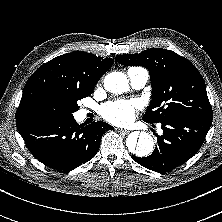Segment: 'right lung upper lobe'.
I'll list each match as a JSON object with an SVG mask.
<instances>
[{
	"instance_id": "obj_1",
	"label": "right lung upper lobe",
	"mask_w": 222,
	"mask_h": 222,
	"mask_svg": "<svg viewBox=\"0 0 222 222\" xmlns=\"http://www.w3.org/2000/svg\"><path fill=\"white\" fill-rule=\"evenodd\" d=\"M113 65V59L76 51L58 56L40 66L28 79L16 119L39 115V105L56 91H93L95 84Z\"/></svg>"
}]
</instances>
